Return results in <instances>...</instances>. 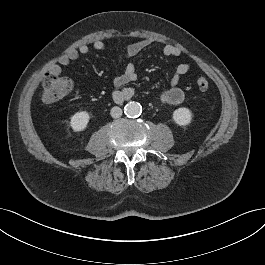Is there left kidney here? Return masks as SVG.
<instances>
[{
	"mask_svg": "<svg viewBox=\"0 0 265 265\" xmlns=\"http://www.w3.org/2000/svg\"><path fill=\"white\" fill-rule=\"evenodd\" d=\"M173 120L179 126H187L191 123L192 112L188 108H178L173 112Z\"/></svg>",
	"mask_w": 265,
	"mask_h": 265,
	"instance_id": "1",
	"label": "left kidney"
}]
</instances>
